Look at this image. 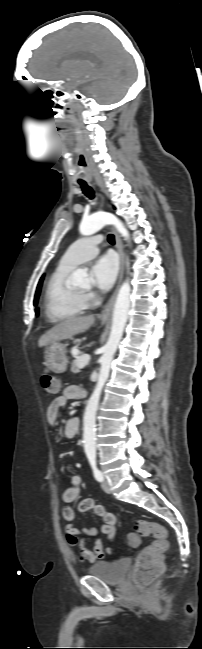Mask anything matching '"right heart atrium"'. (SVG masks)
Segmentation results:
<instances>
[{"label": "right heart atrium", "instance_id": "1", "mask_svg": "<svg viewBox=\"0 0 202 649\" xmlns=\"http://www.w3.org/2000/svg\"><path fill=\"white\" fill-rule=\"evenodd\" d=\"M86 301H92L94 300V295L92 293H88L84 296Z\"/></svg>", "mask_w": 202, "mask_h": 649}]
</instances>
